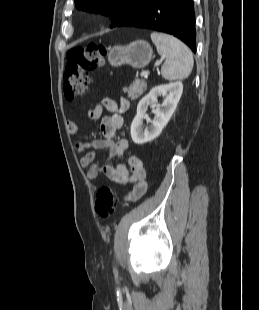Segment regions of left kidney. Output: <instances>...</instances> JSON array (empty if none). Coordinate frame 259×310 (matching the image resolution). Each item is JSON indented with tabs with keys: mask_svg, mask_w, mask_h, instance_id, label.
<instances>
[{
	"mask_svg": "<svg viewBox=\"0 0 259 310\" xmlns=\"http://www.w3.org/2000/svg\"><path fill=\"white\" fill-rule=\"evenodd\" d=\"M183 92V84L176 81L169 84L158 85L143 97L137 106V114L131 124V137L135 144H144L157 138L169 122ZM163 96L164 101L157 107V97ZM155 107V117L150 126L143 128V120L148 106Z\"/></svg>",
	"mask_w": 259,
	"mask_h": 310,
	"instance_id": "left-kidney-1",
	"label": "left kidney"
}]
</instances>
